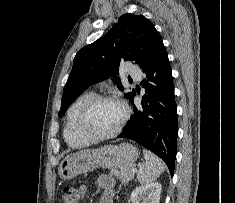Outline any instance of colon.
Masks as SVG:
<instances>
[{"mask_svg": "<svg viewBox=\"0 0 235 203\" xmlns=\"http://www.w3.org/2000/svg\"><path fill=\"white\" fill-rule=\"evenodd\" d=\"M85 193L84 186H67L62 193L63 203H80Z\"/></svg>", "mask_w": 235, "mask_h": 203, "instance_id": "obj_1", "label": "colon"}]
</instances>
